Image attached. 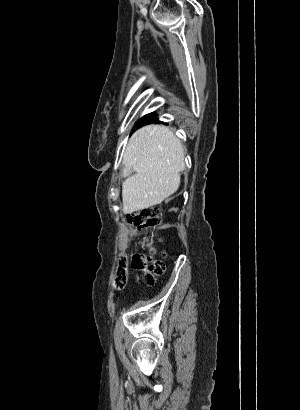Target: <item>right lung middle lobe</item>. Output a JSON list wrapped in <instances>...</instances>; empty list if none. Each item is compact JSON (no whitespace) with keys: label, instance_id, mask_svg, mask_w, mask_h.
<instances>
[{"label":"right lung middle lobe","instance_id":"obj_1","mask_svg":"<svg viewBox=\"0 0 300 410\" xmlns=\"http://www.w3.org/2000/svg\"><path fill=\"white\" fill-rule=\"evenodd\" d=\"M152 116H154L153 113L148 114V115H145L143 118H141V119L137 122L136 126L134 127V130L137 129L138 127H140V125H141L144 121H146L147 119H149V118L152 117Z\"/></svg>","mask_w":300,"mask_h":410}]
</instances>
